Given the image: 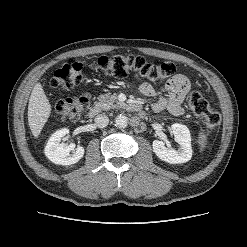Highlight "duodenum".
Returning a JSON list of instances; mask_svg holds the SVG:
<instances>
[{
    "mask_svg": "<svg viewBox=\"0 0 247 247\" xmlns=\"http://www.w3.org/2000/svg\"><path fill=\"white\" fill-rule=\"evenodd\" d=\"M128 109L132 112H141L142 105L139 103H131L128 105ZM102 112V107L100 104H94L88 111L89 117H94Z\"/></svg>",
    "mask_w": 247,
    "mask_h": 247,
    "instance_id": "duodenum-1",
    "label": "duodenum"
}]
</instances>
